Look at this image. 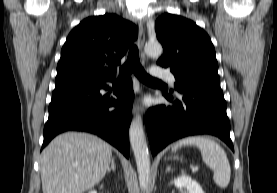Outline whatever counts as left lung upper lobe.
<instances>
[{
    "instance_id": "obj_1",
    "label": "left lung upper lobe",
    "mask_w": 277,
    "mask_h": 193,
    "mask_svg": "<svg viewBox=\"0 0 277 193\" xmlns=\"http://www.w3.org/2000/svg\"><path fill=\"white\" fill-rule=\"evenodd\" d=\"M164 54L157 64L170 68L175 89L197 83H219L215 49L207 33L193 21L165 13L155 22Z\"/></svg>"
}]
</instances>
